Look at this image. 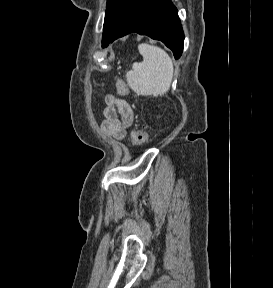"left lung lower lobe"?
<instances>
[{"label": "left lung lower lobe", "mask_w": 273, "mask_h": 288, "mask_svg": "<svg viewBox=\"0 0 273 288\" xmlns=\"http://www.w3.org/2000/svg\"><path fill=\"white\" fill-rule=\"evenodd\" d=\"M132 32L162 41L172 50L175 59L181 57L184 33L178 11L171 0H132L113 36L102 46L107 47L117 38Z\"/></svg>", "instance_id": "1"}]
</instances>
